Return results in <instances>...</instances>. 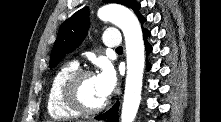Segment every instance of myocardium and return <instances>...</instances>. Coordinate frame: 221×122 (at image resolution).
Wrapping results in <instances>:
<instances>
[{
	"label": "myocardium",
	"mask_w": 221,
	"mask_h": 122,
	"mask_svg": "<svg viewBox=\"0 0 221 122\" xmlns=\"http://www.w3.org/2000/svg\"><path fill=\"white\" fill-rule=\"evenodd\" d=\"M94 76L93 72L87 69H77L70 74L61 87V97L66 106L84 115H93L104 110L108 104L105 99L100 105L90 107L86 105L79 94L80 84L83 79Z\"/></svg>",
	"instance_id": "f54148a6"
}]
</instances>
